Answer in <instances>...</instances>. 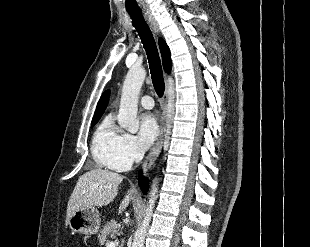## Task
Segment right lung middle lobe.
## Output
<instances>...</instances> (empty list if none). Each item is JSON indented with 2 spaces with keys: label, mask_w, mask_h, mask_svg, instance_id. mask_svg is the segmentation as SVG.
<instances>
[{
  "label": "right lung middle lobe",
  "mask_w": 310,
  "mask_h": 247,
  "mask_svg": "<svg viewBox=\"0 0 310 247\" xmlns=\"http://www.w3.org/2000/svg\"><path fill=\"white\" fill-rule=\"evenodd\" d=\"M100 117H101V116H98V117L93 118L92 123H91V127H93V126L98 122V120L100 119Z\"/></svg>",
  "instance_id": "dd1d6c3e"
}]
</instances>
